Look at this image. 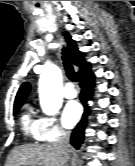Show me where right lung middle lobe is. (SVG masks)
Listing matches in <instances>:
<instances>
[{
	"label": "right lung middle lobe",
	"mask_w": 135,
	"mask_h": 166,
	"mask_svg": "<svg viewBox=\"0 0 135 166\" xmlns=\"http://www.w3.org/2000/svg\"><path fill=\"white\" fill-rule=\"evenodd\" d=\"M21 108V106H19V107H14V115L19 111V109Z\"/></svg>",
	"instance_id": "right-lung-middle-lobe-1"
}]
</instances>
